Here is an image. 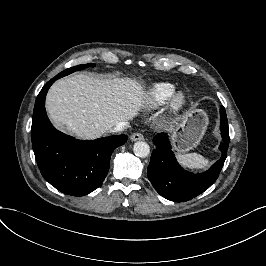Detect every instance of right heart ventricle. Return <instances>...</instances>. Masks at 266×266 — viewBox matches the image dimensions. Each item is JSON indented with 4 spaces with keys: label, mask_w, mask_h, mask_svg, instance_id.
<instances>
[{
    "label": "right heart ventricle",
    "mask_w": 266,
    "mask_h": 266,
    "mask_svg": "<svg viewBox=\"0 0 266 266\" xmlns=\"http://www.w3.org/2000/svg\"><path fill=\"white\" fill-rule=\"evenodd\" d=\"M172 82L160 81L148 86L139 100V110L144 115H151L160 110L177 92Z\"/></svg>",
    "instance_id": "right-heart-ventricle-1"
}]
</instances>
